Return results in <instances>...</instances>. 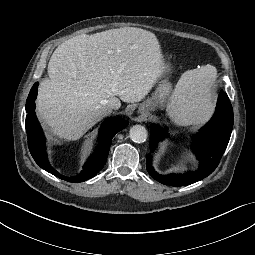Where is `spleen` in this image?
<instances>
[{"instance_id":"1","label":"spleen","mask_w":255,"mask_h":255,"mask_svg":"<svg viewBox=\"0 0 255 255\" xmlns=\"http://www.w3.org/2000/svg\"><path fill=\"white\" fill-rule=\"evenodd\" d=\"M217 70L212 65L184 72L167 105V114L176 125L205 123L213 110V88Z\"/></svg>"}]
</instances>
